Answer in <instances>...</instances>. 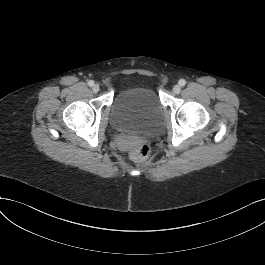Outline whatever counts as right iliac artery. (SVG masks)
Instances as JSON below:
<instances>
[{
	"label": "right iliac artery",
	"instance_id": "82829eb1",
	"mask_svg": "<svg viewBox=\"0 0 265 265\" xmlns=\"http://www.w3.org/2000/svg\"><path fill=\"white\" fill-rule=\"evenodd\" d=\"M88 85H89L90 87H92V86L94 85V81L90 80V81L88 82Z\"/></svg>",
	"mask_w": 265,
	"mask_h": 265
}]
</instances>
